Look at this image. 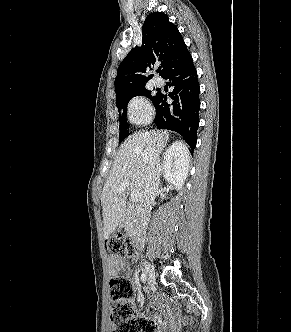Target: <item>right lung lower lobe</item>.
<instances>
[{
	"instance_id": "98d812e1",
	"label": "right lung lower lobe",
	"mask_w": 291,
	"mask_h": 332,
	"mask_svg": "<svg viewBox=\"0 0 291 332\" xmlns=\"http://www.w3.org/2000/svg\"><path fill=\"white\" fill-rule=\"evenodd\" d=\"M163 78L169 79L170 86L174 88L169 94L173 103L168 104L167 95L158 92L153 103L156 108L154 122L160 129L182 135L193 151L199 127L200 89L192 57L169 70Z\"/></svg>"
}]
</instances>
